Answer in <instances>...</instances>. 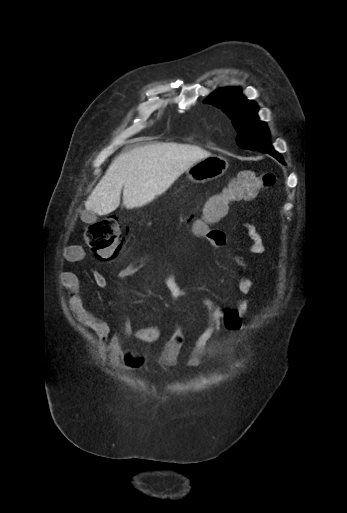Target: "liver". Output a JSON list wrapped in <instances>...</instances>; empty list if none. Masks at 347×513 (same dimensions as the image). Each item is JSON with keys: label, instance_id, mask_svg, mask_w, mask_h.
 <instances>
[{"label": "liver", "instance_id": "liver-1", "mask_svg": "<svg viewBox=\"0 0 347 513\" xmlns=\"http://www.w3.org/2000/svg\"><path fill=\"white\" fill-rule=\"evenodd\" d=\"M210 152L193 145L172 142L148 144L117 156L96 185L84 212L107 215L120 204L127 209L140 207L167 190L170 185L198 160Z\"/></svg>", "mask_w": 347, "mask_h": 513}]
</instances>
